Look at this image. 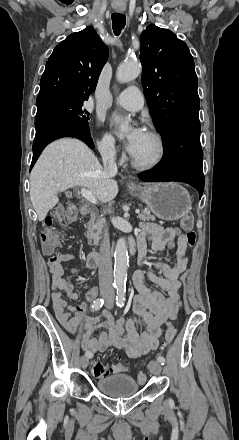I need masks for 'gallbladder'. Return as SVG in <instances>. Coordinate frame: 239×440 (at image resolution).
Instances as JSON below:
<instances>
[{
	"mask_svg": "<svg viewBox=\"0 0 239 440\" xmlns=\"http://www.w3.org/2000/svg\"><path fill=\"white\" fill-rule=\"evenodd\" d=\"M71 194H72L71 190H68V191L65 192V195H66L67 198H70Z\"/></svg>",
	"mask_w": 239,
	"mask_h": 440,
	"instance_id": "obj_1",
	"label": "gallbladder"
}]
</instances>
